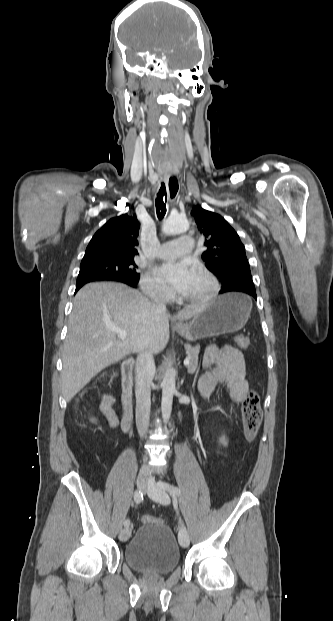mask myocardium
I'll return each mask as SVG.
<instances>
[{"instance_id": "f54148a6", "label": "myocardium", "mask_w": 333, "mask_h": 621, "mask_svg": "<svg viewBox=\"0 0 333 621\" xmlns=\"http://www.w3.org/2000/svg\"><path fill=\"white\" fill-rule=\"evenodd\" d=\"M194 269L195 271H197L198 273H200L201 275L207 278L211 286L210 290L206 294H203L200 296H195V297L178 296V299L186 303H206V302L213 300L218 295L219 290H220V284H219L217 277L211 270H209L204 265H201V264L196 265Z\"/></svg>"}]
</instances>
